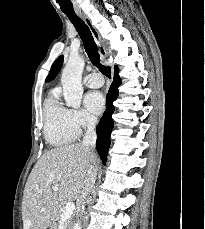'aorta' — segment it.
I'll return each instance as SVG.
<instances>
[{
    "label": "aorta",
    "mask_w": 205,
    "mask_h": 229,
    "mask_svg": "<svg viewBox=\"0 0 205 229\" xmlns=\"http://www.w3.org/2000/svg\"><path fill=\"white\" fill-rule=\"evenodd\" d=\"M84 66L85 61L82 57L72 56L63 69L61 83L63 86L64 99L68 107L77 109L81 106L83 95L81 79ZM73 229H81L80 223L77 222Z\"/></svg>",
    "instance_id": "aorta-1"
}]
</instances>
